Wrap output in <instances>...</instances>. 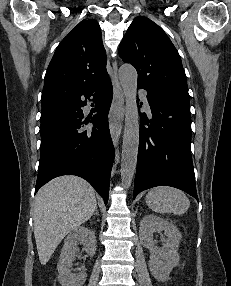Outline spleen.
<instances>
[{"mask_svg":"<svg viewBox=\"0 0 231 286\" xmlns=\"http://www.w3.org/2000/svg\"><path fill=\"white\" fill-rule=\"evenodd\" d=\"M147 206L156 213L184 214L190 206L185 193L179 189L159 186L151 189L146 197Z\"/></svg>","mask_w":231,"mask_h":286,"instance_id":"3e777b00","label":"spleen"}]
</instances>
